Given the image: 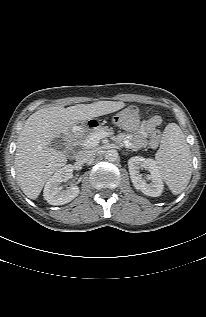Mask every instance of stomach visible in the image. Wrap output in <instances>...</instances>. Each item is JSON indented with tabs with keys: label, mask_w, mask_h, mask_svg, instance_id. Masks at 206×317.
<instances>
[{
	"label": "stomach",
	"mask_w": 206,
	"mask_h": 317,
	"mask_svg": "<svg viewBox=\"0 0 206 317\" xmlns=\"http://www.w3.org/2000/svg\"><path fill=\"white\" fill-rule=\"evenodd\" d=\"M113 118L110 115H97V116H88L82 120L79 124V131H89L93 128L97 129L100 126H112Z\"/></svg>",
	"instance_id": "1"
}]
</instances>
